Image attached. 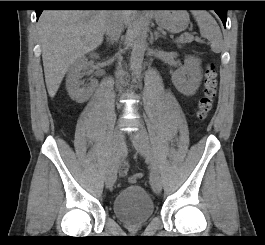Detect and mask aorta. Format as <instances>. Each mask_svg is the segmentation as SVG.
I'll return each instance as SVG.
<instances>
[{"mask_svg": "<svg viewBox=\"0 0 265 245\" xmlns=\"http://www.w3.org/2000/svg\"><path fill=\"white\" fill-rule=\"evenodd\" d=\"M146 38L147 35L144 29V25L141 24L138 28L136 37L132 42V51L130 57V67L132 75L134 77L137 76L140 72L143 63L144 53L147 47Z\"/></svg>", "mask_w": 265, "mask_h": 245, "instance_id": "obj_1", "label": "aorta"}]
</instances>
